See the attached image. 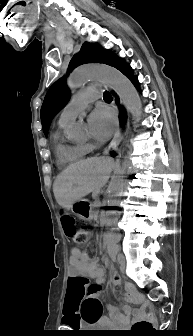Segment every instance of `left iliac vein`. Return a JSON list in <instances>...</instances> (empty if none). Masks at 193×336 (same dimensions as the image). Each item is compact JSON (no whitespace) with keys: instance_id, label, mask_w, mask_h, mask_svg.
I'll return each instance as SVG.
<instances>
[{"instance_id":"1","label":"left iliac vein","mask_w":193,"mask_h":336,"mask_svg":"<svg viewBox=\"0 0 193 336\" xmlns=\"http://www.w3.org/2000/svg\"><path fill=\"white\" fill-rule=\"evenodd\" d=\"M118 263L120 264V269L122 272H125L126 268V259L123 255L118 256Z\"/></svg>"}]
</instances>
